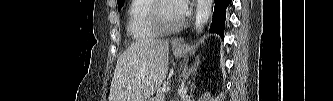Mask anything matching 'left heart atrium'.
Here are the masks:
<instances>
[{"label": "left heart atrium", "mask_w": 333, "mask_h": 101, "mask_svg": "<svg viewBox=\"0 0 333 101\" xmlns=\"http://www.w3.org/2000/svg\"><path fill=\"white\" fill-rule=\"evenodd\" d=\"M174 8L180 16H183L188 9L187 0H176L173 2Z\"/></svg>", "instance_id": "obj_1"}]
</instances>
